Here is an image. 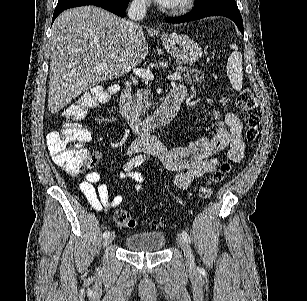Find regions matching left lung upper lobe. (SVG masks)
Returning <instances> with one entry per match:
<instances>
[{
    "label": "left lung upper lobe",
    "mask_w": 307,
    "mask_h": 301,
    "mask_svg": "<svg viewBox=\"0 0 307 301\" xmlns=\"http://www.w3.org/2000/svg\"><path fill=\"white\" fill-rule=\"evenodd\" d=\"M211 6L226 7L238 10L235 0H196L193 9H202Z\"/></svg>",
    "instance_id": "obj_1"
}]
</instances>
